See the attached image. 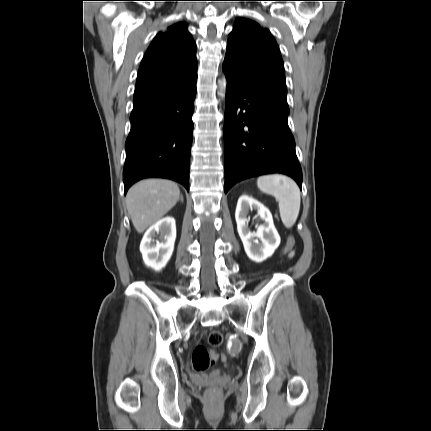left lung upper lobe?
<instances>
[{"label":"left lung upper lobe","mask_w":431,"mask_h":431,"mask_svg":"<svg viewBox=\"0 0 431 431\" xmlns=\"http://www.w3.org/2000/svg\"><path fill=\"white\" fill-rule=\"evenodd\" d=\"M226 76L287 104L284 64L269 30L239 18L228 36L223 62ZM288 105V104H287Z\"/></svg>","instance_id":"obj_1"}]
</instances>
